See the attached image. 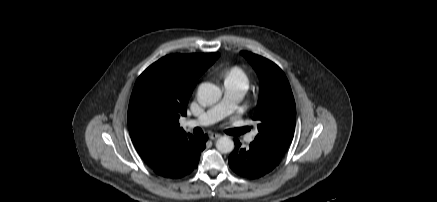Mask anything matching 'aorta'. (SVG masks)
<instances>
[{
    "mask_svg": "<svg viewBox=\"0 0 437 202\" xmlns=\"http://www.w3.org/2000/svg\"><path fill=\"white\" fill-rule=\"evenodd\" d=\"M198 101L202 105H213L222 96L221 89L215 84L204 82L198 87ZM216 148L221 153H230L234 150V142L228 136H222L216 141Z\"/></svg>",
    "mask_w": 437,
    "mask_h": 202,
    "instance_id": "1",
    "label": "aorta"
}]
</instances>
